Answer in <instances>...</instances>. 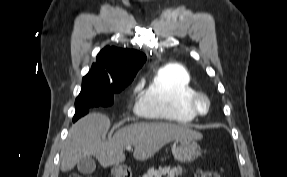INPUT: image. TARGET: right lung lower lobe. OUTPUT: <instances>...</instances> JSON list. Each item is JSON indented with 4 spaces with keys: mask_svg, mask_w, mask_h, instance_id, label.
I'll return each instance as SVG.
<instances>
[{
    "mask_svg": "<svg viewBox=\"0 0 287 177\" xmlns=\"http://www.w3.org/2000/svg\"><path fill=\"white\" fill-rule=\"evenodd\" d=\"M89 109L90 108H82V109L77 110L76 112L79 113L81 115V117H82V116H84L85 114L88 113Z\"/></svg>",
    "mask_w": 287,
    "mask_h": 177,
    "instance_id": "98d812e1",
    "label": "right lung lower lobe"
}]
</instances>
